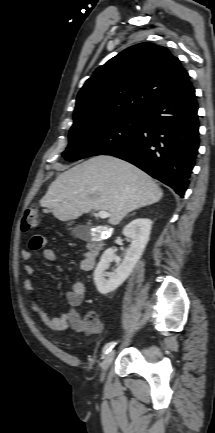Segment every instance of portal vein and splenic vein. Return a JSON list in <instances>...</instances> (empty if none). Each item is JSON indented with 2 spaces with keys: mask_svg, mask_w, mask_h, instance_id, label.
Returning a JSON list of instances; mask_svg holds the SVG:
<instances>
[{
  "mask_svg": "<svg viewBox=\"0 0 215 433\" xmlns=\"http://www.w3.org/2000/svg\"><path fill=\"white\" fill-rule=\"evenodd\" d=\"M110 216H111V214L107 211H99L98 212V217L101 219H105V218H108Z\"/></svg>",
  "mask_w": 215,
  "mask_h": 433,
  "instance_id": "portal-vein-and-splenic-vein-1",
  "label": "portal vein and splenic vein"
}]
</instances>
